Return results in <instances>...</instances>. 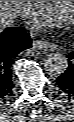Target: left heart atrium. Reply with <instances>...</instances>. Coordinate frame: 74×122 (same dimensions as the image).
Here are the masks:
<instances>
[{
	"instance_id": "1",
	"label": "left heart atrium",
	"mask_w": 74,
	"mask_h": 122,
	"mask_svg": "<svg viewBox=\"0 0 74 122\" xmlns=\"http://www.w3.org/2000/svg\"><path fill=\"white\" fill-rule=\"evenodd\" d=\"M41 18H42V21H44V22L54 21V20H51V14L48 11H44L42 13V17Z\"/></svg>"
}]
</instances>
